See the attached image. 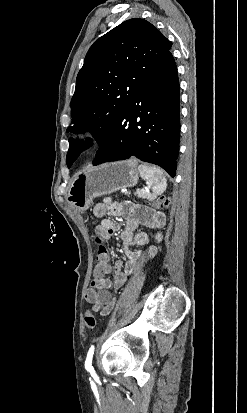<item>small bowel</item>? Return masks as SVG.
<instances>
[{
	"mask_svg": "<svg viewBox=\"0 0 247 413\" xmlns=\"http://www.w3.org/2000/svg\"><path fill=\"white\" fill-rule=\"evenodd\" d=\"M113 216H122L125 219L124 227L120 235L125 260H117L110 264L109 273L114 274L113 286L115 290H120L126 283L128 275L135 273L141 266L140 259L143 254L140 251H133L131 247L141 246L149 243L150 237L146 232H135L139 226H145L155 230L164 225L163 216L147 207L133 204H120L105 199L97 203L93 208L95 217H103L107 212ZM118 225L109 219H104L97 227V232L101 237H108L118 230ZM157 240H161V235L157 234ZM156 248L151 246L147 256L155 254ZM112 282L107 277H93L91 287L85 292V300L92 305L95 312L102 316L109 315L116 304V300L110 292Z\"/></svg>",
	"mask_w": 247,
	"mask_h": 413,
	"instance_id": "c3829d8e",
	"label": "small bowel"
}]
</instances>
